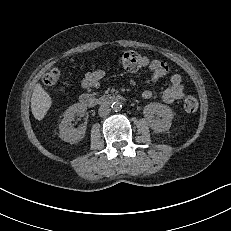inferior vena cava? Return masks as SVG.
I'll use <instances>...</instances> for the list:
<instances>
[{
	"instance_id": "inferior-vena-cava-1",
	"label": "inferior vena cava",
	"mask_w": 231,
	"mask_h": 231,
	"mask_svg": "<svg viewBox=\"0 0 231 231\" xmlns=\"http://www.w3.org/2000/svg\"><path fill=\"white\" fill-rule=\"evenodd\" d=\"M111 111V108L109 106L103 105L99 108L98 114L100 117H105L107 116Z\"/></svg>"
}]
</instances>
